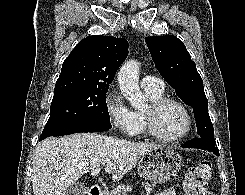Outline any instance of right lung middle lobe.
I'll list each match as a JSON object with an SVG mask.
<instances>
[{"instance_id":"right-lung-middle-lobe-1","label":"right lung middle lobe","mask_w":245,"mask_h":195,"mask_svg":"<svg viewBox=\"0 0 245 195\" xmlns=\"http://www.w3.org/2000/svg\"><path fill=\"white\" fill-rule=\"evenodd\" d=\"M107 91L108 89L83 88L54 92L50 117L40 139L88 121H110L106 104Z\"/></svg>"}]
</instances>
